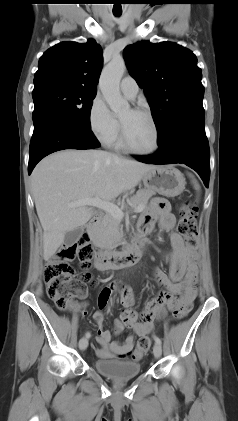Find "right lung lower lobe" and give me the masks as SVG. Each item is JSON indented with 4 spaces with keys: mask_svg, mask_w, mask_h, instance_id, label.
<instances>
[{
    "mask_svg": "<svg viewBox=\"0 0 238 421\" xmlns=\"http://www.w3.org/2000/svg\"><path fill=\"white\" fill-rule=\"evenodd\" d=\"M30 142L28 174L45 156L64 149H92L100 146L93 132L72 124L67 119L51 113L41 114L34 122Z\"/></svg>",
    "mask_w": 238,
    "mask_h": 421,
    "instance_id": "obj_1",
    "label": "right lung lower lobe"
}]
</instances>
